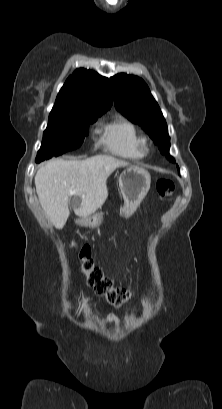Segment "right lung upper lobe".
<instances>
[{"label": "right lung upper lobe", "instance_id": "1", "mask_svg": "<svg viewBox=\"0 0 222 409\" xmlns=\"http://www.w3.org/2000/svg\"><path fill=\"white\" fill-rule=\"evenodd\" d=\"M112 103L109 80L94 71L80 68L66 80L51 112L77 108L107 111Z\"/></svg>", "mask_w": 222, "mask_h": 409}]
</instances>
